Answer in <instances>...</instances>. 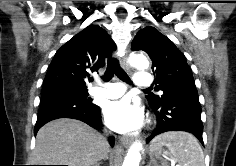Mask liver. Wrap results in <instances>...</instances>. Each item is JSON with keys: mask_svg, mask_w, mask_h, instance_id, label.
Returning <instances> with one entry per match:
<instances>
[{"mask_svg": "<svg viewBox=\"0 0 236 166\" xmlns=\"http://www.w3.org/2000/svg\"><path fill=\"white\" fill-rule=\"evenodd\" d=\"M106 139L87 124L61 118L37 133L31 156L34 165L93 166L108 157Z\"/></svg>", "mask_w": 236, "mask_h": 166, "instance_id": "obj_1", "label": "liver"}]
</instances>
